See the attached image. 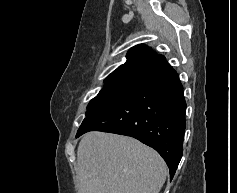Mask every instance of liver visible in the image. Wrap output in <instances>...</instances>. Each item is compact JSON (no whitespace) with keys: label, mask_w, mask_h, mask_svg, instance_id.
Returning <instances> with one entry per match:
<instances>
[{"label":"liver","mask_w":237,"mask_h":193,"mask_svg":"<svg viewBox=\"0 0 237 193\" xmlns=\"http://www.w3.org/2000/svg\"><path fill=\"white\" fill-rule=\"evenodd\" d=\"M76 174L78 193H159L167 166L132 137L89 132L77 149Z\"/></svg>","instance_id":"1"}]
</instances>
